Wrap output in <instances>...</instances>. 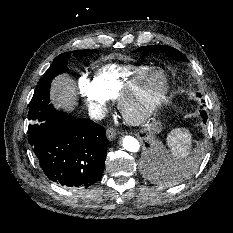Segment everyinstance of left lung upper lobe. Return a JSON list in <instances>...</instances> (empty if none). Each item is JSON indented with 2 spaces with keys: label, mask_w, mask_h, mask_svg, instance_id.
<instances>
[{
  "label": "left lung upper lobe",
  "mask_w": 233,
  "mask_h": 233,
  "mask_svg": "<svg viewBox=\"0 0 233 233\" xmlns=\"http://www.w3.org/2000/svg\"><path fill=\"white\" fill-rule=\"evenodd\" d=\"M162 51L170 56H172L175 59L178 60H186V57L179 52L178 50H176L173 47H169V46H162V45H153V46H142L140 48H138L137 50H135L134 52H140V51ZM198 96H201L200 94H198Z\"/></svg>",
  "instance_id": "left-lung-upper-lobe-1"
}]
</instances>
